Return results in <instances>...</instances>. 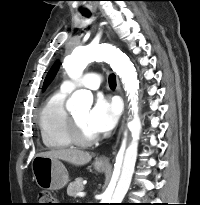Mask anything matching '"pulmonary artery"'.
Wrapping results in <instances>:
<instances>
[{
	"label": "pulmonary artery",
	"mask_w": 200,
	"mask_h": 205,
	"mask_svg": "<svg viewBox=\"0 0 200 205\" xmlns=\"http://www.w3.org/2000/svg\"><path fill=\"white\" fill-rule=\"evenodd\" d=\"M101 76L98 73H88L79 82L67 80L61 85V89L67 93L72 92L78 87H85L91 90H97L101 84Z\"/></svg>",
	"instance_id": "pulmonary-artery-1"
}]
</instances>
